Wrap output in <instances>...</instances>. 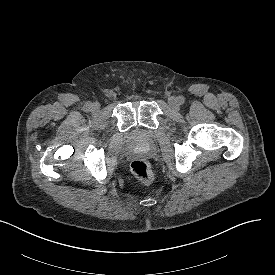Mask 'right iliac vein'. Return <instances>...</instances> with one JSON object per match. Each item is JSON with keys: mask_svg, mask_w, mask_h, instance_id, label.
Returning <instances> with one entry per match:
<instances>
[{"mask_svg": "<svg viewBox=\"0 0 275 275\" xmlns=\"http://www.w3.org/2000/svg\"><path fill=\"white\" fill-rule=\"evenodd\" d=\"M99 109H100V105H99L98 103H92V104H91V111H92L93 113L98 112Z\"/></svg>", "mask_w": 275, "mask_h": 275, "instance_id": "63e3f726", "label": "right iliac vein"}]
</instances>
